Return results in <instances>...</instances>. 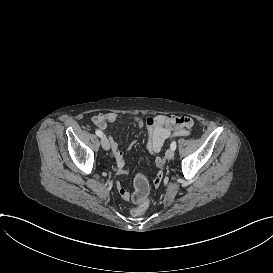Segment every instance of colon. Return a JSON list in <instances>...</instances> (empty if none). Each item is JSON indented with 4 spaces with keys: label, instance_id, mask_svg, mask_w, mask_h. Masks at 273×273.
<instances>
[{
    "label": "colon",
    "instance_id": "colon-1",
    "mask_svg": "<svg viewBox=\"0 0 273 273\" xmlns=\"http://www.w3.org/2000/svg\"><path fill=\"white\" fill-rule=\"evenodd\" d=\"M170 120V118H168ZM156 119L153 116H147L146 117V123L149 126H153L156 124ZM135 186H136V191L134 193V200L138 207L134 208L132 211V214L134 217L139 218L142 215L146 214L150 208V204L148 202V199L146 197V193L148 191V185L143 178L141 174H138L136 176V181H135Z\"/></svg>",
    "mask_w": 273,
    "mask_h": 273
}]
</instances>
